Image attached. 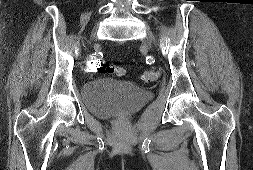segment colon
<instances>
[{
	"label": "colon",
	"mask_w": 253,
	"mask_h": 170,
	"mask_svg": "<svg viewBox=\"0 0 253 170\" xmlns=\"http://www.w3.org/2000/svg\"><path fill=\"white\" fill-rule=\"evenodd\" d=\"M100 69L101 71L106 72L108 74H115L117 76L125 75V69L118 65L103 64ZM157 77H158L157 72L151 69L145 70L141 75V79L144 82H154L157 80Z\"/></svg>",
	"instance_id": "1"
}]
</instances>
